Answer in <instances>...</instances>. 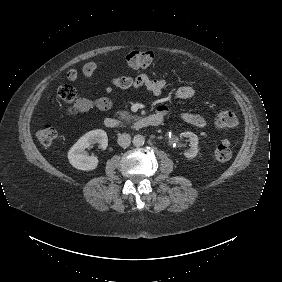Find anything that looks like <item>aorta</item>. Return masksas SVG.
<instances>
[{"label": "aorta", "mask_w": 282, "mask_h": 282, "mask_svg": "<svg viewBox=\"0 0 282 282\" xmlns=\"http://www.w3.org/2000/svg\"><path fill=\"white\" fill-rule=\"evenodd\" d=\"M132 143L135 147H141L145 143V137L143 135L137 134L133 137Z\"/></svg>", "instance_id": "1"}]
</instances>
